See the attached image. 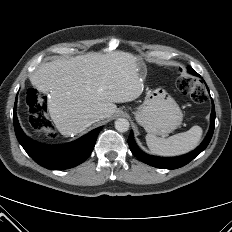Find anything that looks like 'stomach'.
Masks as SVG:
<instances>
[{
    "label": "stomach",
    "instance_id": "1",
    "mask_svg": "<svg viewBox=\"0 0 232 232\" xmlns=\"http://www.w3.org/2000/svg\"><path fill=\"white\" fill-rule=\"evenodd\" d=\"M134 116L146 132L155 136L172 132L183 120L176 101L162 89L149 91L144 102L134 111Z\"/></svg>",
    "mask_w": 232,
    "mask_h": 232
}]
</instances>
